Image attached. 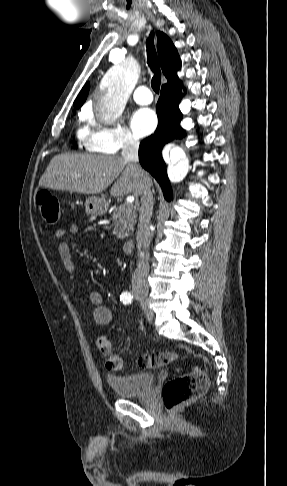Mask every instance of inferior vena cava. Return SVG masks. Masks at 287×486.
I'll return each mask as SVG.
<instances>
[{
	"instance_id": "obj_1",
	"label": "inferior vena cava",
	"mask_w": 287,
	"mask_h": 486,
	"mask_svg": "<svg viewBox=\"0 0 287 486\" xmlns=\"http://www.w3.org/2000/svg\"><path fill=\"white\" fill-rule=\"evenodd\" d=\"M138 149L139 142L136 141L130 134L125 136L124 145L122 148V157L125 161L136 165L138 176L144 178L145 174L138 163ZM153 210V195L150 187H144L141 196V206L139 209V223L136 233L137 250H145L144 255L140 258L134 276L132 278V287L134 290H147L148 282L147 276L149 273V245L151 242L152 233L149 228V222Z\"/></svg>"
}]
</instances>
